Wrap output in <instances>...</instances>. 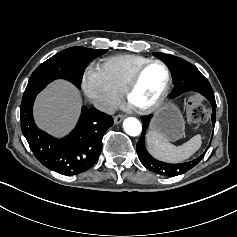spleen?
Masks as SVG:
<instances>
[{
    "label": "spleen",
    "instance_id": "1",
    "mask_svg": "<svg viewBox=\"0 0 237 237\" xmlns=\"http://www.w3.org/2000/svg\"><path fill=\"white\" fill-rule=\"evenodd\" d=\"M146 139L148 152L156 159L168 163L183 162L190 158L202 144V137L197 134L184 144L175 146L157 130H150Z\"/></svg>",
    "mask_w": 237,
    "mask_h": 237
}]
</instances>
